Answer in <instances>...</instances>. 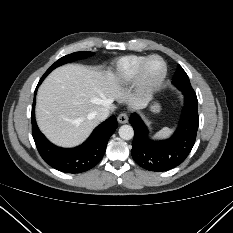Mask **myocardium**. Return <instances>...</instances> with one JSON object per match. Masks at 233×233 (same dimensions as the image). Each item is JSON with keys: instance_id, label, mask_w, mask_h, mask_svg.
Instances as JSON below:
<instances>
[{"instance_id": "myocardium-1", "label": "myocardium", "mask_w": 233, "mask_h": 233, "mask_svg": "<svg viewBox=\"0 0 233 233\" xmlns=\"http://www.w3.org/2000/svg\"><path fill=\"white\" fill-rule=\"evenodd\" d=\"M152 59H158L163 64V71L161 75L156 79H150L147 77V74H146L147 66L150 60ZM167 72H168L167 64L161 56L155 55V54L147 56L145 60L143 61V63L141 64L138 70L137 77H136V83H137V87L139 91L143 93H150L154 91L155 89H157L164 82L167 76Z\"/></svg>"}]
</instances>
